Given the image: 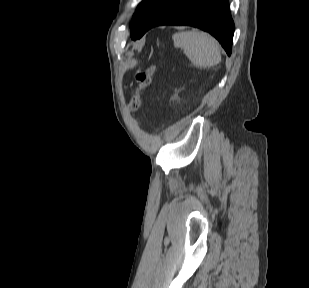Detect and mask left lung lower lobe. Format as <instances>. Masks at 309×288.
I'll return each mask as SVG.
<instances>
[{"label": "left lung lower lobe", "mask_w": 309, "mask_h": 288, "mask_svg": "<svg viewBox=\"0 0 309 288\" xmlns=\"http://www.w3.org/2000/svg\"><path fill=\"white\" fill-rule=\"evenodd\" d=\"M166 24L189 25L207 31L231 55L234 23L228 0H160L131 38L139 39L150 28Z\"/></svg>", "instance_id": "left-lung-lower-lobe-1"}]
</instances>
